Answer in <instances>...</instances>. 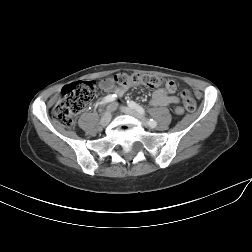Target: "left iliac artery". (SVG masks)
I'll list each match as a JSON object with an SVG mask.
<instances>
[{
  "mask_svg": "<svg viewBox=\"0 0 252 252\" xmlns=\"http://www.w3.org/2000/svg\"><path fill=\"white\" fill-rule=\"evenodd\" d=\"M127 104L129 107H131L132 109H135L141 115L145 114L144 109L141 106H139L137 103H135L134 101H127ZM148 124L152 128L156 127V125H157L156 121L153 119H149Z\"/></svg>",
  "mask_w": 252,
  "mask_h": 252,
  "instance_id": "44dca946",
  "label": "left iliac artery"
}]
</instances>
